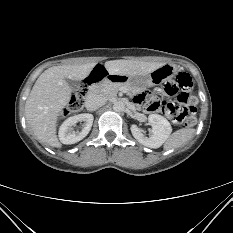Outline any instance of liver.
<instances>
[{
    "mask_svg": "<svg viewBox=\"0 0 233 233\" xmlns=\"http://www.w3.org/2000/svg\"><path fill=\"white\" fill-rule=\"evenodd\" d=\"M96 63L59 65L45 70L36 80L25 104L26 121L38 139L52 147H60L57 121L71 99L72 90L67 79H85ZM164 65L133 60L105 62L109 74L145 76Z\"/></svg>",
    "mask_w": 233,
    "mask_h": 233,
    "instance_id": "1",
    "label": "liver"
}]
</instances>
